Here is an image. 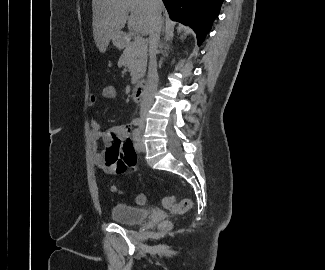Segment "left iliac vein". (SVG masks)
<instances>
[{
    "instance_id": "1",
    "label": "left iliac vein",
    "mask_w": 325,
    "mask_h": 270,
    "mask_svg": "<svg viewBox=\"0 0 325 270\" xmlns=\"http://www.w3.org/2000/svg\"><path fill=\"white\" fill-rule=\"evenodd\" d=\"M144 130V126H141V134H140V141H139V148L137 149L139 152L145 151V144L142 139V132Z\"/></svg>"
}]
</instances>
